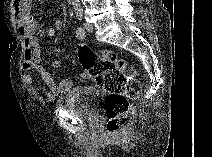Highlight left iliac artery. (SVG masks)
<instances>
[{"label":"left iliac artery","instance_id":"left-iliac-artery-1","mask_svg":"<svg viewBox=\"0 0 212 157\" xmlns=\"http://www.w3.org/2000/svg\"><path fill=\"white\" fill-rule=\"evenodd\" d=\"M78 19L79 20H82V14H78ZM76 37L78 39H83L85 37V31L82 27H78L77 30H76Z\"/></svg>","mask_w":212,"mask_h":157}]
</instances>
